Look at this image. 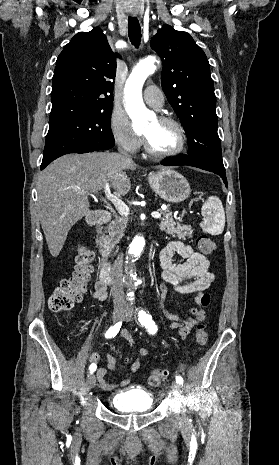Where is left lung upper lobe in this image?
Listing matches in <instances>:
<instances>
[{
  "mask_svg": "<svg viewBox=\"0 0 279 465\" xmlns=\"http://www.w3.org/2000/svg\"><path fill=\"white\" fill-rule=\"evenodd\" d=\"M151 47L162 58V88L187 134L188 156L225 171L214 84L205 53L190 34L169 25L158 30Z\"/></svg>",
  "mask_w": 279,
  "mask_h": 465,
  "instance_id": "5c2ea615",
  "label": "left lung upper lobe"
}]
</instances>
